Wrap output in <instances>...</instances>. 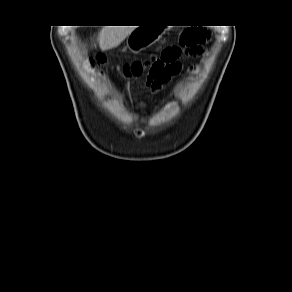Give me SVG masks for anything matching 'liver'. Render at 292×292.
<instances>
[{
	"mask_svg": "<svg viewBox=\"0 0 292 292\" xmlns=\"http://www.w3.org/2000/svg\"><path fill=\"white\" fill-rule=\"evenodd\" d=\"M134 29L135 26H114L103 28L98 36L101 50L105 51L118 46Z\"/></svg>",
	"mask_w": 292,
	"mask_h": 292,
	"instance_id": "6515ba94",
	"label": "liver"
}]
</instances>
